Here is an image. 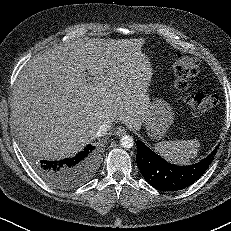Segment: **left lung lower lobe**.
Masks as SVG:
<instances>
[{"label":"left lung lower lobe","mask_w":231,"mask_h":231,"mask_svg":"<svg viewBox=\"0 0 231 231\" xmlns=\"http://www.w3.org/2000/svg\"><path fill=\"white\" fill-rule=\"evenodd\" d=\"M136 162L145 180L161 191H177L193 184L208 169L217 153L219 145L200 162L189 166H177L168 163L137 141Z\"/></svg>","instance_id":"1"}]
</instances>
